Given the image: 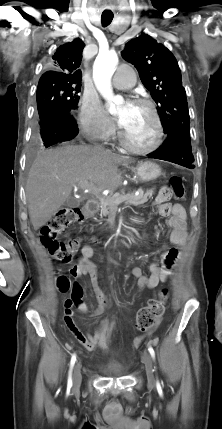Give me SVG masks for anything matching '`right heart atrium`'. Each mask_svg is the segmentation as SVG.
<instances>
[{
	"mask_svg": "<svg viewBox=\"0 0 222 429\" xmlns=\"http://www.w3.org/2000/svg\"><path fill=\"white\" fill-rule=\"evenodd\" d=\"M78 121L82 133L91 139L103 140L113 132V124L99 99L89 93H83L79 100Z\"/></svg>",
	"mask_w": 222,
	"mask_h": 429,
	"instance_id": "right-heart-atrium-1",
	"label": "right heart atrium"
}]
</instances>
